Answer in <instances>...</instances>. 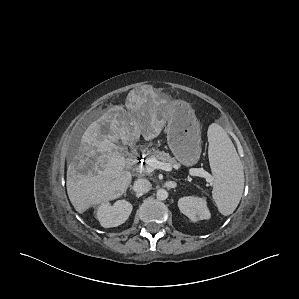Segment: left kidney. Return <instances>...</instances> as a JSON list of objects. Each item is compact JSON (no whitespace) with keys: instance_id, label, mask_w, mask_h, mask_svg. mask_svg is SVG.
<instances>
[{"instance_id":"5707ae66","label":"left kidney","mask_w":299,"mask_h":299,"mask_svg":"<svg viewBox=\"0 0 299 299\" xmlns=\"http://www.w3.org/2000/svg\"><path fill=\"white\" fill-rule=\"evenodd\" d=\"M178 207L180 212L193 222L206 220L211 216L205 198L194 196L182 197L178 201Z\"/></svg>"}]
</instances>
